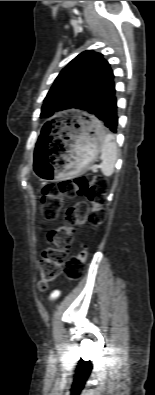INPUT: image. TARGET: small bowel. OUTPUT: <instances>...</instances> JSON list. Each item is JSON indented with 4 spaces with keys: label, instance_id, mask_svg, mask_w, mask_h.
I'll return each mask as SVG.
<instances>
[{
    "label": "small bowel",
    "instance_id": "c3829d8e",
    "mask_svg": "<svg viewBox=\"0 0 155 395\" xmlns=\"http://www.w3.org/2000/svg\"><path fill=\"white\" fill-rule=\"evenodd\" d=\"M57 297V293L52 294L51 298H56Z\"/></svg>",
    "mask_w": 155,
    "mask_h": 395
}]
</instances>
